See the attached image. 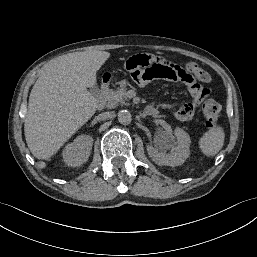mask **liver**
Listing matches in <instances>:
<instances>
[{
	"mask_svg": "<svg viewBox=\"0 0 257 257\" xmlns=\"http://www.w3.org/2000/svg\"><path fill=\"white\" fill-rule=\"evenodd\" d=\"M110 53L84 51L63 55L44 68L28 103L24 133L31 153L49 159L96 112L98 99L87 88Z\"/></svg>",
	"mask_w": 257,
	"mask_h": 257,
	"instance_id": "1",
	"label": "liver"
}]
</instances>
